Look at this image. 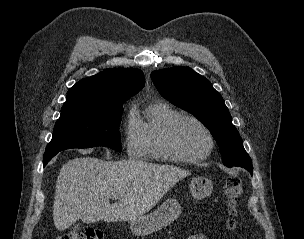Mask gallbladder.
Segmentation results:
<instances>
[{
	"label": "gallbladder",
	"mask_w": 304,
	"mask_h": 239,
	"mask_svg": "<svg viewBox=\"0 0 304 239\" xmlns=\"http://www.w3.org/2000/svg\"><path fill=\"white\" fill-rule=\"evenodd\" d=\"M72 228L74 231H79L81 227H80V224H73Z\"/></svg>",
	"instance_id": "bac80fb5"
}]
</instances>
